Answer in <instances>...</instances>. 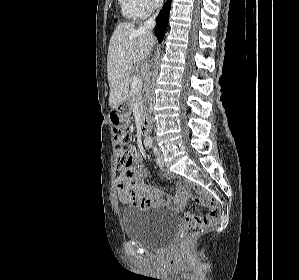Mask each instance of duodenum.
I'll use <instances>...</instances> for the list:
<instances>
[{
    "label": "duodenum",
    "mask_w": 299,
    "mask_h": 280,
    "mask_svg": "<svg viewBox=\"0 0 299 280\" xmlns=\"http://www.w3.org/2000/svg\"><path fill=\"white\" fill-rule=\"evenodd\" d=\"M148 131H149V118L147 115H144L140 126V133L142 136H146Z\"/></svg>",
    "instance_id": "1"
}]
</instances>
